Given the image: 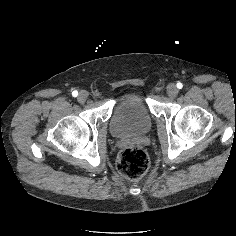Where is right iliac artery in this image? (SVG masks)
<instances>
[{
	"label": "right iliac artery",
	"instance_id": "obj_1",
	"mask_svg": "<svg viewBox=\"0 0 236 236\" xmlns=\"http://www.w3.org/2000/svg\"><path fill=\"white\" fill-rule=\"evenodd\" d=\"M72 96H73V97H77V96H78V91L74 90V91L72 92Z\"/></svg>",
	"mask_w": 236,
	"mask_h": 236
}]
</instances>
